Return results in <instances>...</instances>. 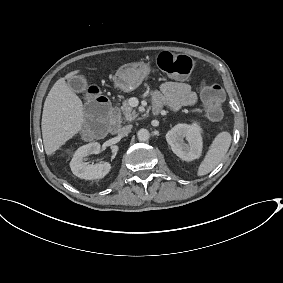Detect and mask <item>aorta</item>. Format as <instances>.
I'll list each match as a JSON object with an SVG mask.
<instances>
[{
	"label": "aorta",
	"mask_w": 283,
	"mask_h": 283,
	"mask_svg": "<svg viewBox=\"0 0 283 283\" xmlns=\"http://www.w3.org/2000/svg\"><path fill=\"white\" fill-rule=\"evenodd\" d=\"M137 137L140 141H147L149 140L150 138V133L147 129H140L138 132H137Z\"/></svg>",
	"instance_id": "762f6f07"
}]
</instances>
